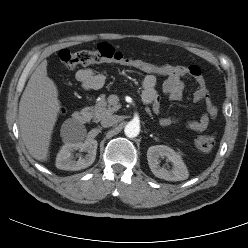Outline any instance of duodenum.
I'll return each mask as SVG.
<instances>
[{
    "label": "duodenum",
    "instance_id": "410a0bca",
    "mask_svg": "<svg viewBox=\"0 0 248 248\" xmlns=\"http://www.w3.org/2000/svg\"><path fill=\"white\" fill-rule=\"evenodd\" d=\"M73 120L78 124H85L90 120V113L88 111H76L73 114Z\"/></svg>",
    "mask_w": 248,
    "mask_h": 248
}]
</instances>
